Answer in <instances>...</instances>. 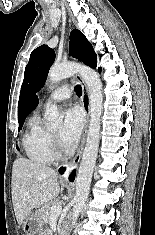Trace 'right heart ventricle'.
I'll use <instances>...</instances> for the list:
<instances>
[{
	"mask_svg": "<svg viewBox=\"0 0 155 235\" xmlns=\"http://www.w3.org/2000/svg\"><path fill=\"white\" fill-rule=\"evenodd\" d=\"M22 143L26 156L32 162L48 164L53 160L52 136L38 114L28 120Z\"/></svg>",
	"mask_w": 155,
	"mask_h": 235,
	"instance_id": "obj_1",
	"label": "right heart ventricle"
}]
</instances>
